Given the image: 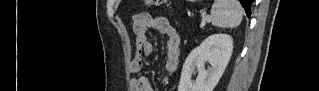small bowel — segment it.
I'll list each match as a JSON object with an SVG mask.
<instances>
[{
    "label": "small bowel",
    "instance_id": "1",
    "mask_svg": "<svg viewBox=\"0 0 319 91\" xmlns=\"http://www.w3.org/2000/svg\"><path fill=\"white\" fill-rule=\"evenodd\" d=\"M155 30L166 36L164 73L162 80L168 82L179 63L180 35L167 18L153 16L149 13H139L133 18V31L136 38V51L130 62V72L138 73L143 65V58L153 53V44L149 39L148 30ZM133 91H153L148 78L137 76L131 79Z\"/></svg>",
    "mask_w": 319,
    "mask_h": 91
}]
</instances>
